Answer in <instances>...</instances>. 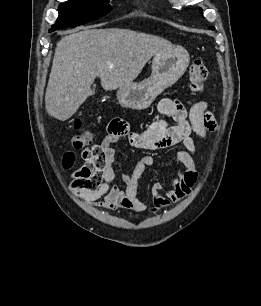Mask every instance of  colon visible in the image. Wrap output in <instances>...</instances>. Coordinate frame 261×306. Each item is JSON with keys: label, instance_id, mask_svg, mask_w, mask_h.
Segmentation results:
<instances>
[{"label": "colon", "instance_id": "colon-1", "mask_svg": "<svg viewBox=\"0 0 261 306\" xmlns=\"http://www.w3.org/2000/svg\"><path fill=\"white\" fill-rule=\"evenodd\" d=\"M210 76V72L201 60H194L189 68L190 87L192 91L199 94L203 90V84ZM75 128H80L79 122L75 123ZM72 145L75 149H82L84 158L92 160L96 168H102L106 163V154L103 148L98 144H92V140L87 133H78L72 138ZM73 153H66L64 164L70 167L73 164ZM73 188L81 192L84 189H91L94 184L88 181L81 172L76 171L72 182Z\"/></svg>", "mask_w": 261, "mask_h": 306}]
</instances>
